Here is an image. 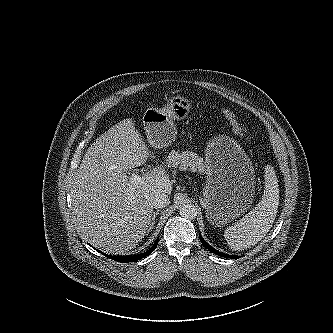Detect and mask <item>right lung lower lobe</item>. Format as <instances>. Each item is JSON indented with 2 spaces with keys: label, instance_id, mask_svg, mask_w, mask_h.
Listing matches in <instances>:
<instances>
[{
  "label": "right lung lower lobe",
  "instance_id": "1",
  "mask_svg": "<svg viewBox=\"0 0 333 333\" xmlns=\"http://www.w3.org/2000/svg\"><path fill=\"white\" fill-rule=\"evenodd\" d=\"M159 242V237L156 239L155 243L153 244V246L147 250L146 252L144 253H141V254H138V255H128V256H112V255H105L106 257H108L109 259H112L114 261H118V262H135V261H138L139 259L141 258H144L146 256H148L149 254H151L154 249L156 248L157 244ZM98 252H100L99 250H97ZM104 254V253H102Z\"/></svg>",
  "mask_w": 333,
  "mask_h": 333
}]
</instances>
